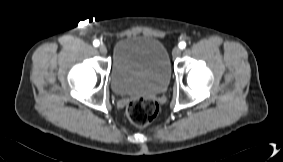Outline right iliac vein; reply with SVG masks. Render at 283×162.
<instances>
[{"label":"right iliac vein","mask_w":283,"mask_h":162,"mask_svg":"<svg viewBox=\"0 0 283 162\" xmlns=\"http://www.w3.org/2000/svg\"><path fill=\"white\" fill-rule=\"evenodd\" d=\"M99 51H100V53L105 55L107 53V47L104 44H101L99 46Z\"/></svg>","instance_id":"right-iliac-vein-1"}]
</instances>
